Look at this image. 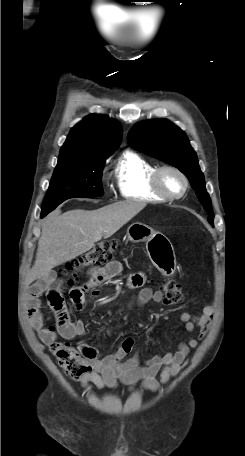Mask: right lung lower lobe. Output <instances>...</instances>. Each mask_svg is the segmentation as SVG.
<instances>
[{
    "label": "right lung lower lobe",
    "instance_id": "1",
    "mask_svg": "<svg viewBox=\"0 0 245 456\" xmlns=\"http://www.w3.org/2000/svg\"><path fill=\"white\" fill-rule=\"evenodd\" d=\"M45 215L44 214H41V217H44Z\"/></svg>",
    "mask_w": 245,
    "mask_h": 456
}]
</instances>
